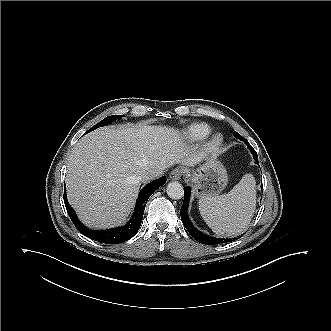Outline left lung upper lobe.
I'll list each match as a JSON object with an SVG mask.
<instances>
[{
  "label": "left lung upper lobe",
  "mask_w": 331,
  "mask_h": 331,
  "mask_svg": "<svg viewBox=\"0 0 331 331\" xmlns=\"http://www.w3.org/2000/svg\"><path fill=\"white\" fill-rule=\"evenodd\" d=\"M236 134H238L236 131L234 132V135H236ZM240 135V134H239ZM256 152V151H255ZM252 153V152H251ZM257 154V153H256ZM252 155H253V157H254V159H255V161L256 162H258V157L255 155V154H253L252 153Z\"/></svg>",
  "instance_id": "left-lung-upper-lobe-1"
}]
</instances>
